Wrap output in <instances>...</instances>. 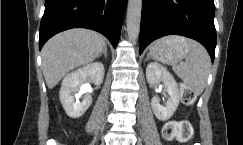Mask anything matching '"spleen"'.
<instances>
[{"instance_id":"spleen-1","label":"spleen","mask_w":243,"mask_h":145,"mask_svg":"<svg viewBox=\"0 0 243 145\" xmlns=\"http://www.w3.org/2000/svg\"><path fill=\"white\" fill-rule=\"evenodd\" d=\"M178 41H183V39ZM187 43L189 53L185 62L174 64L173 71L195 95H200L207 83L211 61L206 49L201 44L192 40H187Z\"/></svg>"}]
</instances>
